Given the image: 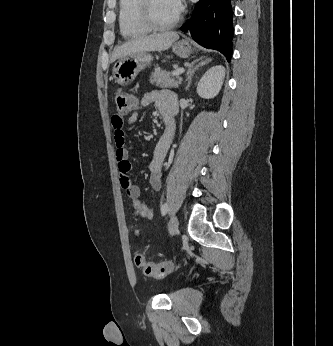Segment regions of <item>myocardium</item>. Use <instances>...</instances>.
<instances>
[{
	"mask_svg": "<svg viewBox=\"0 0 333 346\" xmlns=\"http://www.w3.org/2000/svg\"><path fill=\"white\" fill-rule=\"evenodd\" d=\"M141 14L146 25L155 31H164L174 27L180 20V11L168 22H158L152 12V0H141Z\"/></svg>",
	"mask_w": 333,
	"mask_h": 346,
	"instance_id": "1",
	"label": "myocardium"
}]
</instances>
